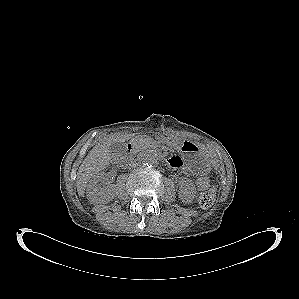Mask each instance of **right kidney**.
<instances>
[{
    "label": "right kidney",
    "instance_id": "ca27d5eb",
    "mask_svg": "<svg viewBox=\"0 0 299 299\" xmlns=\"http://www.w3.org/2000/svg\"><path fill=\"white\" fill-rule=\"evenodd\" d=\"M106 174L104 172H98L95 174L89 181L87 185V198L93 203H108L114 197V185L106 184L105 186H101L100 182L104 180Z\"/></svg>",
    "mask_w": 299,
    "mask_h": 299
}]
</instances>
